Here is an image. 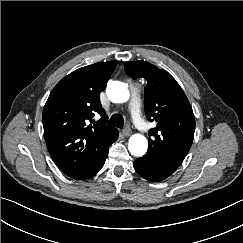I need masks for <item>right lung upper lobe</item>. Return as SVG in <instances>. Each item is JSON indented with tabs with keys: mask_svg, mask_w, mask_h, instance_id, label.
<instances>
[{
	"mask_svg": "<svg viewBox=\"0 0 243 243\" xmlns=\"http://www.w3.org/2000/svg\"><path fill=\"white\" fill-rule=\"evenodd\" d=\"M116 61L95 63L65 76L51 91L43 109L44 137L58 168L75 175L90 169L104 154L117 129L107 119L100 92L116 67ZM101 119L94 125V113Z\"/></svg>",
	"mask_w": 243,
	"mask_h": 243,
	"instance_id": "right-lung-upper-lobe-1",
	"label": "right lung upper lobe"
}]
</instances>
